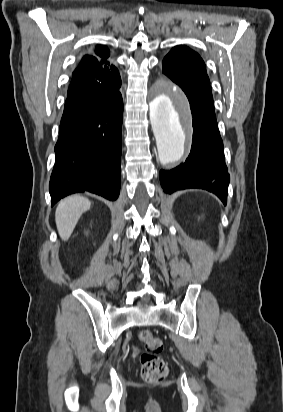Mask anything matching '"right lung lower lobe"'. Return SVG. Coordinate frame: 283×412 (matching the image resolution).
<instances>
[{
    "mask_svg": "<svg viewBox=\"0 0 283 412\" xmlns=\"http://www.w3.org/2000/svg\"><path fill=\"white\" fill-rule=\"evenodd\" d=\"M121 79L91 81L68 94L50 178L52 206L61 198L89 191L115 200L120 191Z\"/></svg>",
    "mask_w": 283,
    "mask_h": 412,
    "instance_id": "1",
    "label": "right lung lower lobe"
}]
</instances>
